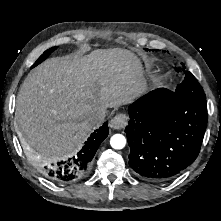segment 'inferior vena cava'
Instances as JSON below:
<instances>
[{"mask_svg":"<svg viewBox=\"0 0 221 221\" xmlns=\"http://www.w3.org/2000/svg\"><path fill=\"white\" fill-rule=\"evenodd\" d=\"M107 114V109L99 107L93 109L89 115H88V121L93 125V126H100Z\"/></svg>","mask_w":221,"mask_h":221,"instance_id":"1","label":"inferior vena cava"}]
</instances>
